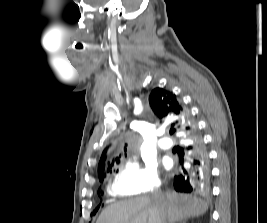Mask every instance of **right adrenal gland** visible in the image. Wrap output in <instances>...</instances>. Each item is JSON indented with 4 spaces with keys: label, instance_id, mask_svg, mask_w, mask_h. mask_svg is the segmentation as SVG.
I'll use <instances>...</instances> for the list:
<instances>
[{
    "label": "right adrenal gland",
    "instance_id": "obj_1",
    "mask_svg": "<svg viewBox=\"0 0 267 223\" xmlns=\"http://www.w3.org/2000/svg\"><path fill=\"white\" fill-rule=\"evenodd\" d=\"M180 223H186V219L182 220Z\"/></svg>",
    "mask_w": 267,
    "mask_h": 223
}]
</instances>
